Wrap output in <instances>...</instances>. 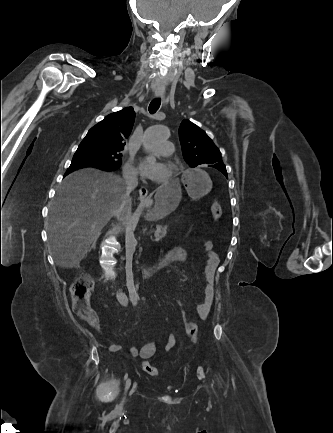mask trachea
Returning a JSON list of instances; mask_svg holds the SVG:
<instances>
[{
  "label": "trachea",
  "instance_id": "1",
  "mask_svg": "<svg viewBox=\"0 0 333 433\" xmlns=\"http://www.w3.org/2000/svg\"><path fill=\"white\" fill-rule=\"evenodd\" d=\"M160 104H161L160 99H153L149 104V108H148L149 112L151 114H154L159 109Z\"/></svg>",
  "mask_w": 333,
  "mask_h": 433
}]
</instances>
